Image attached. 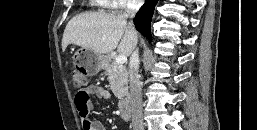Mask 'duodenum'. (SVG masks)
Here are the masks:
<instances>
[{
	"label": "duodenum",
	"mask_w": 257,
	"mask_h": 130,
	"mask_svg": "<svg viewBox=\"0 0 257 130\" xmlns=\"http://www.w3.org/2000/svg\"><path fill=\"white\" fill-rule=\"evenodd\" d=\"M119 112L124 119H128L131 115V105L129 96H125L119 101Z\"/></svg>",
	"instance_id": "410a0bca"
}]
</instances>
